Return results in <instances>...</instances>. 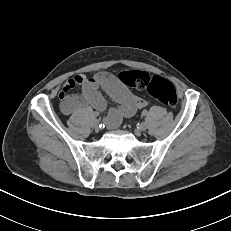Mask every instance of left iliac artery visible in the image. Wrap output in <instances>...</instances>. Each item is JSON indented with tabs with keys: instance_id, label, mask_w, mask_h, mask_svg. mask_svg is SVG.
Masks as SVG:
<instances>
[{
	"instance_id": "1",
	"label": "left iliac artery",
	"mask_w": 231,
	"mask_h": 231,
	"mask_svg": "<svg viewBox=\"0 0 231 231\" xmlns=\"http://www.w3.org/2000/svg\"><path fill=\"white\" fill-rule=\"evenodd\" d=\"M147 113H148L147 110H143V111H142V115H143V116H146Z\"/></svg>"
}]
</instances>
